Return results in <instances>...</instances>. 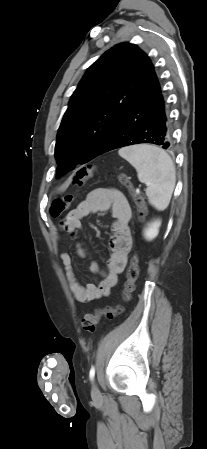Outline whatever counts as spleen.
<instances>
[{
  "label": "spleen",
  "instance_id": "obj_1",
  "mask_svg": "<svg viewBox=\"0 0 207 449\" xmlns=\"http://www.w3.org/2000/svg\"><path fill=\"white\" fill-rule=\"evenodd\" d=\"M118 153L136 169L139 181L148 185L149 203L157 210L166 209L176 182L171 157L163 149L147 144L125 147Z\"/></svg>",
  "mask_w": 207,
  "mask_h": 449
}]
</instances>
